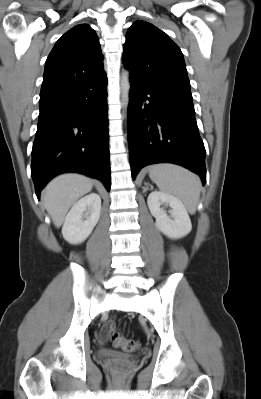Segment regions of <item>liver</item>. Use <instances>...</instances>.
I'll use <instances>...</instances> for the list:
<instances>
[{"instance_id": "1", "label": "liver", "mask_w": 261, "mask_h": 399, "mask_svg": "<svg viewBox=\"0 0 261 399\" xmlns=\"http://www.w3.org/2000/svg\"><path fill=\"white\" fill-rule=\"evenodd\" d=\"M93 181L80 174H64L54 178L44 189L42 200L54 225L59 228L70 207L90 192Z\"/></svg>"}]
</instances>
